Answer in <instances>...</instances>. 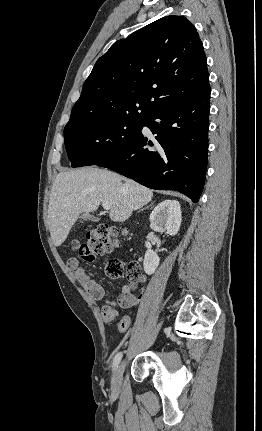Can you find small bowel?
I'll return each mask as SVG.
<instances>
[{"label":"small bowel","mask_w":262,"mask_h":431,"mask_svg":"<svg viewBox=\"0 0 262 431\" xmlns=\"http://www.w3.org/2000/svg\"><path fill=\"white\" fill-rule=\"evenodd\" d=\"M67 265L74 273L76 280L84 287V289L93 299L97 301L105 300V304L103 306L104 314H110L111 316L117 318L118 312L114 308L115 306L124 308H131L137 306L139 299L134 293V289L136 287L134 283L123 285L120 288L117 300L110 301L105 299L104 287L97 282V280L91 275V273L87 269L79 266L78 260L76 258H69L67 261ZM118 330L120 332L125 331L119 328Z\"/></svg>","instance_id":"1"}]
</instances>
